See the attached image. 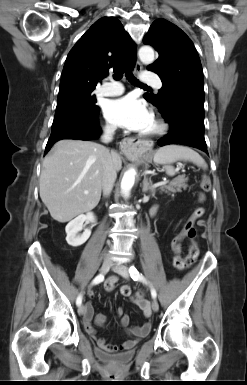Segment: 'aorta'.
Returning a JSON list of instances; mask_svg holds the SVG:
<instances>
[{
	"instance_id": "1",
	"label": "aorta",
	"mask_w": 247,
	"mask_h": 385,
	"mask_svg": "<svg viewBox=\"0 0 247 385\" xmlns=\"http://www.w3.org/2000/svg\"><path fill=\"white\" fill-rule=\"evenodd\" d=\"M139 58L144 64H151L154 61V50L150 46H143L138 52ZM136 172L134 169H129L123 175L121 181V191L127 196L135 182Z\"/></svg>"
}]
</instances>
